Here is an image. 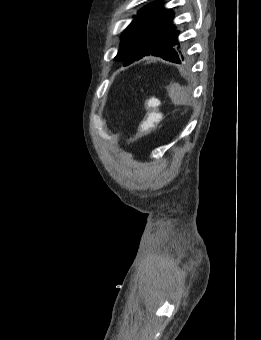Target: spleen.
I'll return each mask as SVG.
<instances>
[{"label":"spleen","mask_w":261,"mask_h":340,"mask_svg":"<svg viewBox=\"0 0 261 340\" xmlns=\"http://www.w3.org/2000/svg\"><path fill=\"white\" fill-rule=\"evenodd\" d=\"M168 92L174 105H188L191 102V97L187 88L181 86L179 83H171Z\"/></svg>","instance_id":"3e777b00"}]
</instances>
